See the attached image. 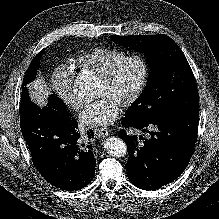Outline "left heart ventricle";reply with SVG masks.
Instances as JSON below:
<instances>
[{
	"instance_id": "1",
	"label": "left heart ventricle",
	"mask_w": 219,
	"mask_h": 219,
	"mask_svg": "<svg viewBox=\"0 0 219 219\" xmlns=\"http://www.w3.org/2000/svg\"><path fill=\"white\" fill-rule=\"evenodd\" d=\"M141 76V67L136 62L127 63L111 83L99 82L98 96H111L122 104L135 90Z\"/></svg>"
}]
</instances>
